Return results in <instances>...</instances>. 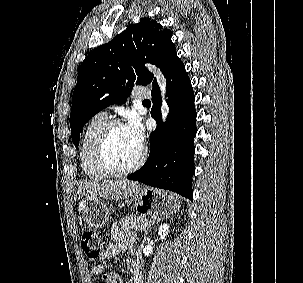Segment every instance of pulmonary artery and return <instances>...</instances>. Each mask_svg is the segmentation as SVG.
Returning <instances> with one entry per match:
<instances>
[{
	"label": "pulmonary artery",
	"instance_id": "1",
	"mask_svg": "<svg viewBox=\"0 0 303 283\" xmlns=\"http://www.w3.org/2000/svg\"><path fill=\"white\" fill-rule=\"evenodd\" d=\"M133 95L137 99L148 98V97H150V91L148 88H146L144 86H140L134 90Z\"/></svg>",
	"mask_w": 303,
	"mask_h": 283
}]
</instances>
